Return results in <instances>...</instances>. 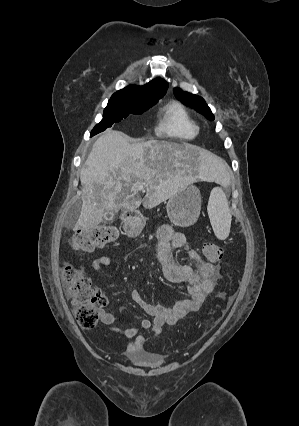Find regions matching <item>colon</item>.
Here are the masks:
<instances>
[{"label":"colon","mask_w":299,"mask_h":426,"mask_svg":"<svg viewBox=\"0 0 299 426\" xmlns=\"http://www.w3.org/2000/svg\"><path fill=\"white\" fill-rule=\"evenodd\" d=\"M117 237L116 228L97 226L77 231L72 238L71 246L75 253L82 254L101 248ZM203 254L211 262H220L224 250L214 243H206L203 246ZM62 277L66 296L73 304L78 324L84 329L93 328L98 322L100 310L106 303L104 295L92 286L82 270L70 264L64 265Z\"/></svg>","instance_id":"1"}]
</instances>
